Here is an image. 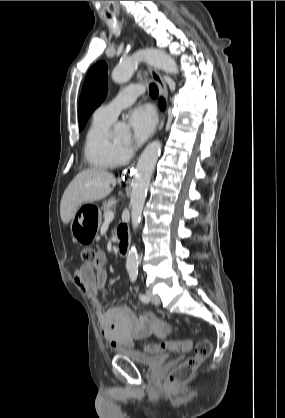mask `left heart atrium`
Segmentation results:
<instances>
[{
  "label": "left heart atrium",
  "mask_w": 285,
  "mask_h": 418,
  "mask_svg": "<svg viewBox=\"0 0 285 418\" xmlns=\"http://www.w3.org/2000/svg\"><path fill=\"white\" fill-rule=\"evenodd\" d=\"M127 120L137 144L145 142L154 132L157 124L156 113L149 106L134 108L128 114Z\"/></svg>",
  "instance_id": "1"
}]
</instances>
